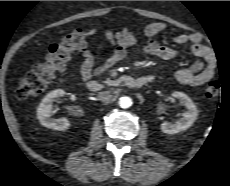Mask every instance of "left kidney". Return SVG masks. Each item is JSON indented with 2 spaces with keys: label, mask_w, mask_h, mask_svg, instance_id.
<instances>
[{
  "label": "left kidney",
  "mask_w": 230,
  "mask_h": 186,
  "mask_svg": "<svg viewBox=\"0 0 230 186\" xmlns=\"http://www.w3.org/2000/svg\"><path fill=\"white\" fill-rule=\"evenodd\" d=\"M172 96L177 98L187 110L182 114V118L173 123L163 122L161 130L167 134H176L188 129L198 117V109L193 101L183 92H173Z\"/></svg>",
  "instance_id": "1"
}]
</instances>
